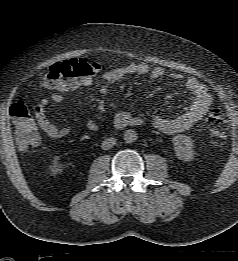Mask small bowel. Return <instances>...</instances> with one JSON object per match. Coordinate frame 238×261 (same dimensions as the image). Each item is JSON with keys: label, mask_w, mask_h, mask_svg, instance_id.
I'll list each match as a JSON object with an SVG mask.
<instances>
[{"label": "small bowel", "mask_w": 238, "mask_h": 261, "mask_svg": "<svg viewBox=\"0 0 238 261\" xmlns=\"http://www.w3.org/2000/svg\"><path fill=\"white\" fill-rule=\"evenodd\" d=\"M132 75H147L150 82L163 81L171 79L180 81L184 86L193 93L192 100L185 106L183 111L173 118L154 115L150 119L145 120L135 117L129 111H120L114 118V124L117 128L123 129L128 126L141 125L145 122L149 123L155 129L165 134H176L190 129L198 121H200L208 112L212 105L213 98L205 84L192 76H183L178 73H166L159 66L151 67L150 65L140 63H130L128 65L109 69L103 72L102 77L104 84L100 88L102 94H106L112 84L120 82ZM92 77L83 78L75 83L69 89L72 90L79 86H90ZM68 90H57L50 96L43 97L34 109L35 119L41 130L52 139L66 137L70 133L68 127H57L46 116V108L52 103H61L63 101V93ZM89 131H96L98 125L95 121L89 120L85 124Z\"/></svg>", "instance_id": "obj_1"}]
</instances>
